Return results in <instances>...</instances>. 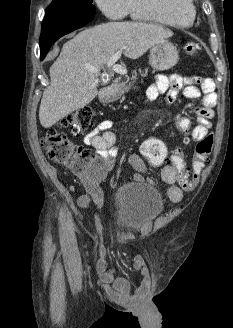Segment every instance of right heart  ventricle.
Returning a JSON list of instances; mask_svg holds the SVG:
<instances>
[{"instance_id":"e07e8e85","label":"right heart ventricle","mask_w":233,"mask_h":328,"mask_svg":"<svg viewBox=\"0 0 233 328\" xmlns=\"http://www.w3.org/2000/svg\"><path fill=\"white\" fill-rule=\"evenodd\" d=\"M132 19L186 28L194 20L192 0H129Z\"/></svg>"}]
</instances>
